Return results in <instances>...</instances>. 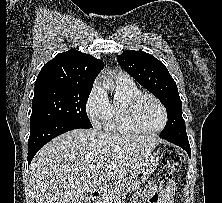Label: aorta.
Wrapping results in <instances>:
<instances>
[{"mask_svg":"<svg viewBox=\"0 0 222 203\" xmlns=\"http://www.w3.org/2000/svg\"><path fill=\"white\" fill-rule=\"evenodd\" d=\"M105 88H106L107 90L113 89V83H112V82H107V83L105 84Z\"/></svg>","mask_w":222,"mask_h":203,"instance_id":"1","label":"aorta"}]
</instances>
